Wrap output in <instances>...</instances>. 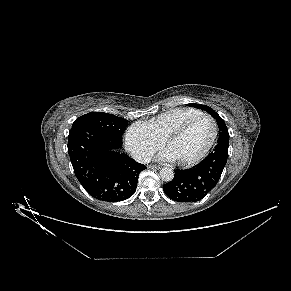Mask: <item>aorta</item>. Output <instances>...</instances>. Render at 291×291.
<instances>
[{
	"label": "aorta",
	"instance_id": "obj_1",
	"mask_svg": "<svg viewBox=\"0 0 291 291\" xmlns=\"http://www.w3.org/2000/svg\"><path fill=\"white\" fill-rule=\"evenodd\" d=\"M160 178L165 182H170L174 178V172L171 168L164 167L160 170Z\"/></svg>",
	"mask_w": 291,
	"mask_h": 291
}]
</instances>
